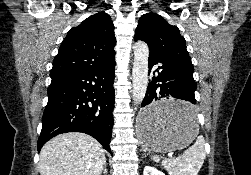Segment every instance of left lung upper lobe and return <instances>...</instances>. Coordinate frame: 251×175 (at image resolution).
I'll list each match as a JSON object with an SVG mask.
<instances>
[{"instance_id":"1","label":"left lung upper lobe","mask_w":251,"mask_h":175,"mask_svg":"<svg viewBox=\"0 0 251 175\" xmlns=\"http://www.w3.org/2000/svg\"><path fill=\"white\" fill-rule=\"evenodd\" d=\"M134 40L146 42L150 52L193 67L185 39L179 29L156 13H145L140 17Z\"/></svg>"}]
</instances>
